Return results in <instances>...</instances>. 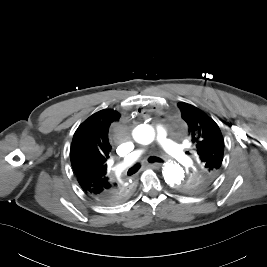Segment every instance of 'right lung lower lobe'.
<instances>
[{
  "label": "right lung lower lobe",
  "instance_id": "98d812e1",
  "mask_svg": "<svg viewBox=\"0 0 267 267\" xmlns=\"http://www.w3.org/2000/svg\"><path fill=\"white\" fill-rule=\"evenodd\" d=\"M132 193L131 184H121L115 189L106 191L98 196H90L104 205H115L126 201Z\"/></svg>",
  "mask_w": 267,
  "mask_h": 267
}]
</instances>
